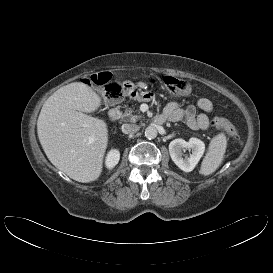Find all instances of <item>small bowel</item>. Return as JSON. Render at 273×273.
Here are the masks:
<instances>
[{"label": "small bowel", "mask_w": 273, "mask_h": 273, "mask_svg": "<svg viewBox=\"0 0 273 273\" xmlns=\"http://www.w3.org/2000/svg\"><path fill=\"white\" fill-rule=\"evenodd\" d=\"M213 109L212 102L207 98H200L196 105L181 106L178 102H170L163 111V116L170 122L184 120L192 130H206L210 125L207 113ZM197 110L201 113L197 114Z\"/></svg>", "instance_id": "1"}]
</instances>
